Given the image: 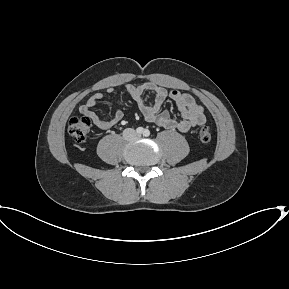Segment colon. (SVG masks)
Masks as SVG:
<instances>
[{"instance_id":"obj_1","label":"colon","mask_w":289,"mask_h":289,"mask_svg":"<svg viewBox=\"0 0 289 289\" xmlns=\"http://www.w3.org/2000/svg\"><path fill=\"white\" fill-rule=\"evenodd\" d=\"M91 122L88 117H73L68 123V132L77 143H83L90 131ZM199 140L202 143L211 141L212 135L208 127L203 126L198 132Z\"/></svg>"}]
</instances>
